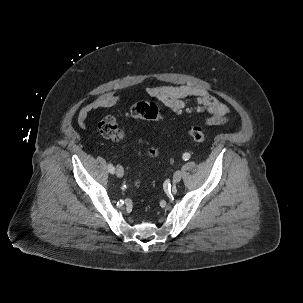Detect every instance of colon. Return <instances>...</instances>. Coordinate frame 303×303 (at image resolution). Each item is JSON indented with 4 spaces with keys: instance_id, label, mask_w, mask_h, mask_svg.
I'll return each mask as SVG.
<instances>
[{
    "instance_id": "colon-1",
    "label": "colon",
    "mask_w": 303,
    "mask_h": 303,
    "mask_svg": "<svg viewBox=\"0 0 303 303\" xmlns=\"http://www.w3.org/2000/svg\"><path fill=\"white\" fill-rule=\"evenodd\" d=\"M129 114L132 117L149 121H159L161 119L158 107L148 101L135 103L131 107ZM98 130L104 138L112 141H122L126 137L125 130L118 125L117 117L113 114H109L101 119L98 124ZM188 134L195 142L204 143L206 140L205 132L199 126H191L188 129ZM139 142L141 143V141ZM146 154L150 158H155L158 156V149L155 147L148 148Z\"/></svg>"
}]
</instances>
